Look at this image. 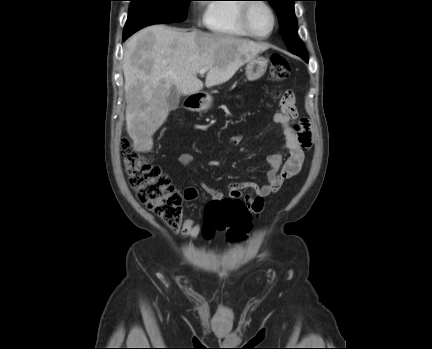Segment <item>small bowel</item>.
Instances as JSON below:
<instances>
[{
	"label": "small bowel",
	"mask_w": 432,
	"mask_h": 349,
	"mask_svg": "<svg viewBox=\"0 0 432 349\" xmlns=\"http://www.w3.org/2000/svg\"><path fill=\"white\" fill-rule=\"evenodd\" d=\"M298 113L294 105L293 94L287 91L282 100L281 110L274 114L273 121L282 128L283 143L279 150L267 157L268 171L267 183L258 185L254 182L230 184L228 186L227 198L240 199L247 203L253 216L259 215L264 209V198L277 192L285 180L297 175L303 165L305 153L312 146L313 135L311 125L307 119H297ZM242 140L240 135L231 138V146L238 145ZM288 153V158L283 161V154ZM193 160L190 154H182L179 163L182 166L188 165ZM211 167L220 165V161L212 159L208 163ZM203 190L209 194L213 201L220 202L225 198L219 192L208 185H203ZM251 190V194L244 195L243 190ZM198 197V189L188 187L184 192V199L188 202ZM201 227L199 223L191 218L184 220L181 227V236L188 239H195L199 235Z\"/></svg>",
	"instance_id": "obj_1"
}]
</instances>
